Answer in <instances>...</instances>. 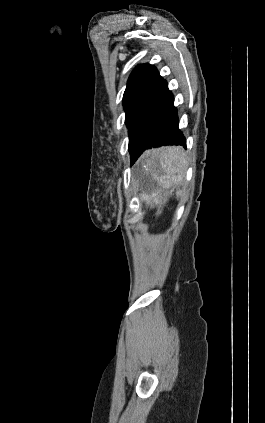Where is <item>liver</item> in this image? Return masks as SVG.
Listing matches in <instances>:
<instances>
[{"mask_svg": "<svg viewBox=\"0 0 265 423\" xmlns=\"http://www.w3.org/2000/svg\"><path fill=\"white\" fill-rule=\"evenodd\" d=\"M141 165L152 172L159 168V171L154 173L153 176L160 189L153 191L151 194L143 193L140 198L146 206L155 205L158 207L157 214H160L169 196L168 190L183 182L187 169L186 153L179 146L148 150L141 159ZM180 194L181 191L177 189L176 195L179 196Z\"/></svg>", "mask_w": 265, "mask_h": 423, "instance_id": "obj_1", "label": "liver"}]
</instances>
